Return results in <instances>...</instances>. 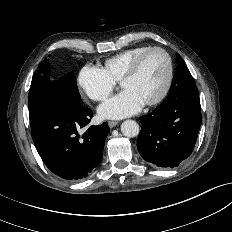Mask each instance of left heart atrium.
Returning a JSON list of instances; mask_svg holds the SVG:
<instances>
[{
    "label": "left heart atrium",
    "instance_id": "left-heart-atrium-1",
    "mask_svg": "<svg viewBox=\"0 0 232 232\" xmlns=\"http://www.w3.org/2000/svg\"><path fill=\"white\" fill-rule=\"evenodd\" d=\"M144 102L129 90H123L117 96L104 102L98 112L105 119H121L140 111Z\"/></svg>",
    "mask_w": 232,
    "mask_h": 232
}]
</instances>
